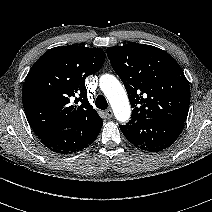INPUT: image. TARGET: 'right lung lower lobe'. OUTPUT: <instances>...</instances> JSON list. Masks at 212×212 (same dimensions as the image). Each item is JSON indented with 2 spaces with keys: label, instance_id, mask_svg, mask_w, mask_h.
<instances>
[{
  "label": "right lung lower lobe",
  "instance_id": "1",
  "mask_svg": "<svg viewBox=\"0 0 212 212\" xmlns=\"http://www.w3.org/2000/svg\"><path fill=\"white\" fill-rule=\"evenodd\" d=\"M102 125L90 130L83 127H73L50 132L39 138L51 151L67 155L81 151L91 145L96 140Z\"/></svg>",
  "mask_w": 212,
  "mask_h": 212
}]
</instances>
